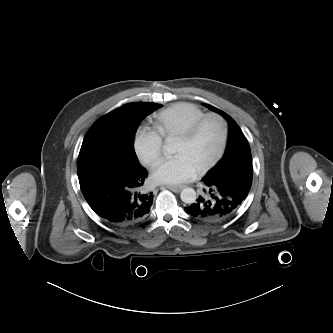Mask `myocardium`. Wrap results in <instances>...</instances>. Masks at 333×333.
Returning <instances> with one entry per match:
<instances>
[{"label": "myocardium", "mask_w": 333, "mask_h": 333, "mask_svg": "<svg viewBox=\"0 0 333 333\" xmlns=\"http://www.w3.org/2000/svg\"><path fill=\"white\" fill-rule=\"evenodd\" d=\"M209 119H215L220 123L222 128L221 142L216 154L207 163H205L198 169V173H204L208 171L222 158L229 138L228 121L223 115L219 113H207L198 118L196 121H194L186 130H184L182 133L178 135V138L182 140L185 141L191 140L196 135L200 127L204 124V122H206Z\"/></svg>", "instance_id": "obj_1"}]
</instances>
